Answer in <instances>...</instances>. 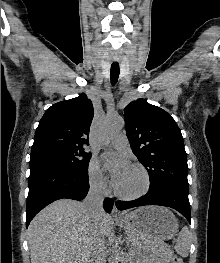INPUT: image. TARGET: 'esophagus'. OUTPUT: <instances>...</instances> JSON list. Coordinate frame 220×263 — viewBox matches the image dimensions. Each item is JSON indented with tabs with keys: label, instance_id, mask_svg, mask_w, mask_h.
Here are the masks:
<instances>
[{
	"label": "esophagus",
	"instance_id": "1",
	"mask_svg": "<svg viewBox=\"0 0 220 263\" xmlns=\"http://www.w3.org/2000/svg\"><path fill=\"white\" fill-rule=\"evenodd\" d=\"M121 213H120V211L117 209V207L115 206V204H114V207H113V209H112V216L113 217H121Z\"/></svg>",
	"mask_w": 220,
	"mask_h": 263
}]
</instances>
